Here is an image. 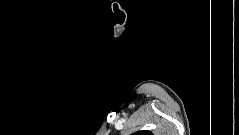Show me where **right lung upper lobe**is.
<instances>
[{
    "label": "right lung upper lobe",
    "mask_w": 239,
    "mask_h": 135,
    "mask_svg": "<svg viewBox=\"0 0 239 135\" xmlns=\"http://www.w3.org/2000/svg\"><path fill=\"white\" fill-rule=\"evenodd\" d=\"M132 135H153L150 131L143 130V131H138L136 133H133Z\"/></svg>",
    "instance_id": "obj_1"
}]
</instances>
